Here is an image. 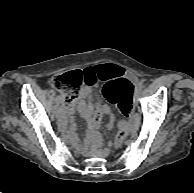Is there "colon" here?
<instances>
[{
	"label": "colon",
	"instance_id": "colon-1",
	"mask_svg": "<svg viewBox=\"0 0 194 193\" xmlns=\"http://www.w3.org/2000/svg\"><path fill=\"white\" fill-rule=\"evenodd\" d=\"M55 84L61 89L64 100L66 103H71L76 100L81 92L83 83L85 82V75L80 70H73L59 75L54 80ZM132 83L125 78H118L108 83L103 90L104 96L108 99L113 98V94L118 89H131ZM131 112V111H130ZM128 128L121 126L115 135L113 145L115 148H119L126 135Z\"/></svg>",
	"mask_w": 194,
	"mask_h": 193
}]
</instances>
